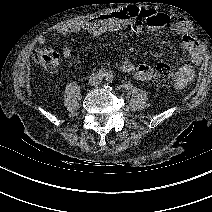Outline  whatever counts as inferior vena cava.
<instances>
[{
	"label": "inferior vena cava",
	"mask_w": 212,
	"mask_h": 212,
	"mask_svg": "<svg viewBox=\"0 0 212 212\" xmlns=\"http://www.w3.org/2000/svg\"><path fill=\"white\" fill-rule=\"evenodd\" d=\"M102 82V78L97 74H92L89 78V84L97 86Z\"/></svg>",
	"instance_id": "inferior-vena-cava-1"
}]
</instances>
